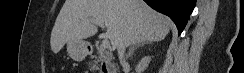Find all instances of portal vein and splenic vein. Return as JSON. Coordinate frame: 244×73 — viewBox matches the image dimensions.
I'll use <instances>...</instances> for the list:
<instances>
[{
	"label": "portal vein and splenic vein",
	"instance_id": "18ae733b",
	"mask_svg": "<svg viewBox=\"0 0 244 73\" xmlns=\"http://www.w3.org/2000/svg\"><path fill=\"white\" fill-rule=\"evenodd\" d=\"M91 22L99 25L101 28H104V24L96 19H91ZM101 45H102L103 49H108V48H110V41L107 38H105V39H103Z\"/></svg>",
	"mask_w": 244,
	"mask_h": 73
}]
</instances>
